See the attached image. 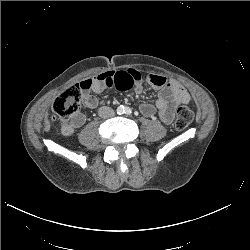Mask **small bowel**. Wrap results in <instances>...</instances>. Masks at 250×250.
Segmentation results:
<instances>
[{"instance_id": "small-bowel-1", "label": "small bowel", "mask_w": 250, "mask_h": 250, "mask_svg": "<svg viewBox=\"0 0 250 250\" xmlns=\"http://www.w3.org/2000/svg\"><path fill=\"white\" fill-rule=\"evenodd\" d=\"M143 83L149 84L158 91L155 105L144 103L140 106L141 113L147 117H157L161 122L168 124L173 119L174 109L190 102L189 93L176 81L158 74H143L135 69H127L103 72L81 81L79 86L82 90V104L87 109H95L98 106V100L91 92L99 93L107 88L121 91L134 88L136 93H140ZM85 122L86 115L77 112L70 120L61 123V133L69 136Z\"/></svg>"}]
</instances>
